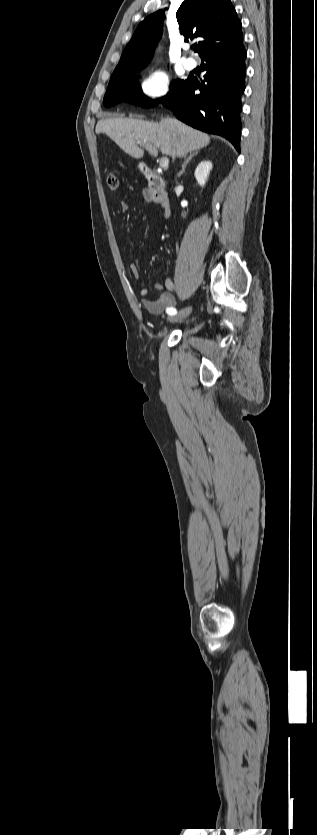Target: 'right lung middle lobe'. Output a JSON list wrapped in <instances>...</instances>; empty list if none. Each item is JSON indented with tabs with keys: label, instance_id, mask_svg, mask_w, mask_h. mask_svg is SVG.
<instances>
[{
	"label": "right lung middle lobe",
	"instance_id": "obj_1",
	"mask_svg": "<svg viewBox=\"0 0 317 835\" xmlns=\"http://www.w3.org/2000/svg\"><path fill=\"white\" fill-rule=\"evenodd\" d=\"M139 70H114L106 94L104 96L103 104L106 107H111L119 102H129L142 107L150 108L161 102L166 96L172 94L183 85L186 80H176L171 83L170 92L163 98L158 100H150L143 93L138 83V76L135 74Z\"/></svg>",
	"mask_w": 317,
	"mask_h": 835
}]
</instances>
